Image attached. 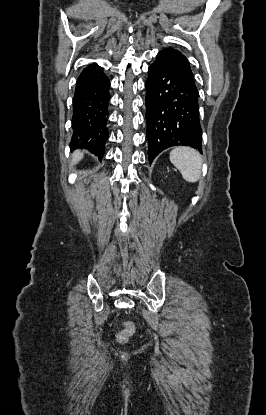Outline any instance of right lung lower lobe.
<instances>
[{
  "label": "right lung lower lobe",
  "instance_id": "obj_1",
  "mask_svg": "<svg viewBox=\"0 0 266 415\" xmlns=\"http://www.w3.org/2000/svg\"><path fill=\"white\" fill-rule=\"evenodd\" d=\"M109 86V79L97 65L84 69L78 77L73 98L71 150L87 149L102 159L108 139Z\"/></svg>",
  "mask_w": 266,
  "mask_h": 415
}]
</instances>
